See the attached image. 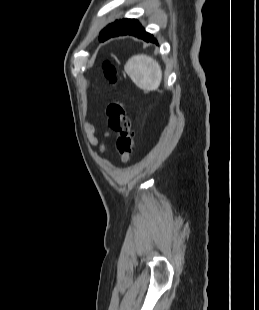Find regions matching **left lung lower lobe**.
<instances>
[{"label": "left lung lower lobe", "mask_w": 259, "mask_h": 310, "mask_svg": "<svg viewBox=\"0 0 259 310\" xmlns=\"http://www.w3.org/2000/svg\"><path fill=\"white\" fill-rule=\"evenodd\" d=\"M120 35H132L146 42L157 43L153 35L147 33L136 19H123L111 33L100 40L105 41L111 37Z\"/></svg>", "instance_id": "0a47b994"}]
</instances>
